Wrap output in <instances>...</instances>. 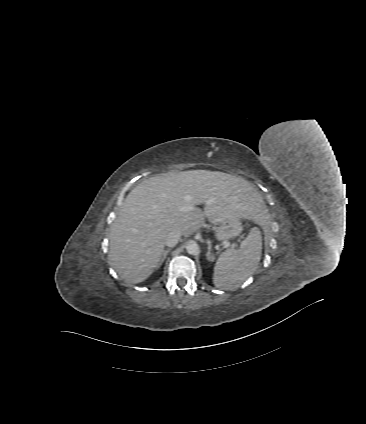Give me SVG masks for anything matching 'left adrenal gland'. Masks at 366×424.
<instances>
[{
	"instance_id": "a2214340",
	"label": "left adrenal gland",
	"mask_w": 366,
	"mask_h": 424,
	"mask_svg": "<svg viewBox=\"0 0 366 424\" xmlns=\"http://www.w3.org/2000/svg\"><path fill=\"white\" fill-rule=\"evenodd\" d=\"M207 244H208V251L206 253V258H207L208 261H212L213 256H211V254H212L211 242L208 240Z\"/></svg>"
}]
</instances>
